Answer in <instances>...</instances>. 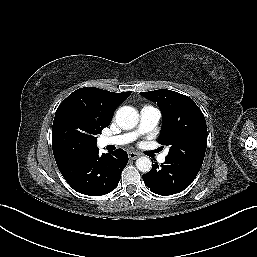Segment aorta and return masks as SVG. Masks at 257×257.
Here are the masks:
<instances>
[{"label": "aorta", "mask_w": 257, "mask_h": 257, "mask_svg": "<svg viewBox=\"0 0 257 257\" xmlns=\"http://www.w3.org/2000/svg\"><path fill=\"white\" fill-rule=\"evenodd\" d=\"M116 122L124 130L133 129L139 122V114L133 107L123 106L117 110ZM136 167L147 173L152 168V162L148 157H140L136 160Z\"/></svg>", "instance_id": "obj_1"}]
</instances>
